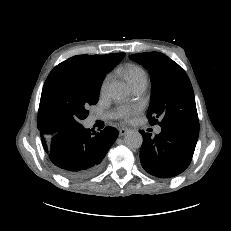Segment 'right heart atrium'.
Masks as SVG:
<instances>
[{"mask_svg":"<svg viewBox=\"0 0 231 231\" xmlns=\"http://www.w3.org/2000/svg\"><path fill=\"white\" fill-rule=\"evenodd\" d=\"M110 81H111V75L108 74L107 76H105V78L103 79V81L100 85V94L101 95H104L107 92Z\"/></svg>","mask_w":231,"mask_h":231,"instance_id":"obj_1","label":"right heart atrium"}]
</instances>
